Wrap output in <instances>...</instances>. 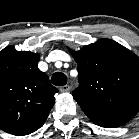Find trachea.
<instances>
[{
	"label": "trachea",
	"instance_id": "3493384b",
	"mask_svg": "<svg viewBox=\"0 0 139 139\" xmlns=\"http://www.w3.org/2000/svg\"><path fill=\"white\" fill-rule=\"evenodd\" d=\"M51 82L55 86H63L67 83V76L64 73L56 72L52 75Z\"/></svg>",
	"mask_w": 139,
	"mask_h": 139
}]
</instances>
